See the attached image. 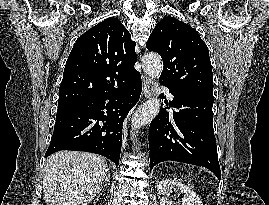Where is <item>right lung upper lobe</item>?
<instances>
[{
    "mask_svg": "<svg viewBox=\"0 0 269 205\" xmlns=\"http://www.w3.org/2000/svg\"><path fill=\"white\" fill-rule=\"evenodd\" d=\"M135 42L117 18H107L83 35L67 59L58 104L118 88L135 70Z\"/></svg>",
    "mask_w": 269,
    "mask_h": 205,
    "instance_id": "right-lung-upper-lobe-1",
    "label": "right lung upper lobe"
}]
</instances>
